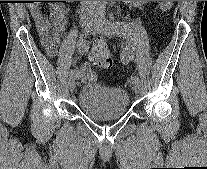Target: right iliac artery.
I'll return each instance as SVG.
<instances>
[{"instance_id":"82829eb1","label":"right iliac artery","mask_w":207,"mask_h":169,"mask_svg":"<svg viewBox=\"0 0 207 169\" xmlns=\"http://www.w3.org/2000/svg\"><path fill=\"white\" fill-rule=\"evenodd\" d=\"M87 33L88 32H85V34L82 35L80 37L79 41H78V49H79L80 53H82V54H84L85 52H87V50L89 48L88 42L85 39ZM70 78H79L78 73L75 70H72L70 72Z\"/></svg>"}]
</instances>
